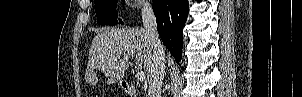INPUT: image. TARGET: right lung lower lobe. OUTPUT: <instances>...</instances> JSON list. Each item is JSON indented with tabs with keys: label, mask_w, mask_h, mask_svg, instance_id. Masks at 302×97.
Segmentation results:
<instances>
[{
	"label": "right lung lower lobe",
	"mask_w": 302,
	"mask_h": 97,
	"mask_svg": "<svg viewBox=\"0 0 302 97\" xmlns=\"http://www.w3.org/2000/svg\"><path fill=\"white\" fill-rule=\"evenodd\" d=\"M158 32L176 62L182 57L183 26L188 15V0H154Z\"/></svg>",
	"instance_id": "right-lung-lower-lobe-1"
}]
</instances>
